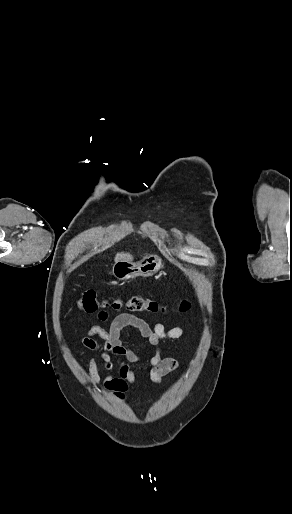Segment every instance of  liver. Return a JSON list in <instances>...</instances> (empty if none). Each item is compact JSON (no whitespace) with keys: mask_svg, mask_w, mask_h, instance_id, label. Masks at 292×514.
<instances>
[{"mask_svg":"<svg viewBox=\"0 0 292 514\" xmlns=\"http://www.w3.org/2000/svg\"><path fill=\"white\" fill-rule=\"evenodd\" d=\"M119 260H133V258L130 254H124V252H121V254H116L115 256V262H119Z\"/></svg>","mask_w":292,"mask_h":514,"instance_id":"obj_1","label":"liver"}]
</instances>
